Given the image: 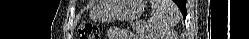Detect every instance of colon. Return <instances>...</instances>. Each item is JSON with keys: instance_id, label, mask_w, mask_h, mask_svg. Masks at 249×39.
<instances>
[{"instance_id": "colon-1", "label": "colon", "mask_w": 249, "mask_h": 39, "mask_svg": "<svg viewBox=\"0 0 249 39\" xmlns=\"http://www.w3.org/2000/svg\"><path fill=\"white\" fill-rule=\"evenodd\" d=\"M80 39L100 38V28L93 23H81L78 27Z\"/></svg>"}]
</instances>
